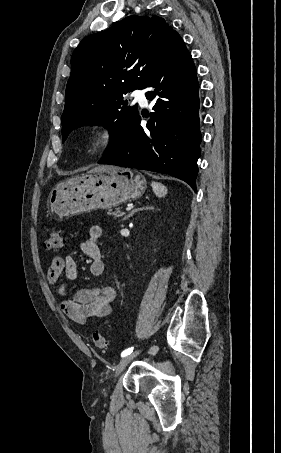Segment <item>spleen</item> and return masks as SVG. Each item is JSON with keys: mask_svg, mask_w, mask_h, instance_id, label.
Returning a JSON list of instances; mask_svg holds the SVG:
<instances>
[{"mask_svg": "<svg viewBox=\"0 0 281 453\" xmlns=\"http://www.w3.org/2000/svg\"><path fill=\"white\" fill-rule=\"evenodd\" d=\"M152 190H154L156 196H165L167 194V188L161 182H151Z\"/></svg>", "mask_w": 281, "mask_h": 453, "instance_id": "3e777b00", "label": "spleen"}]
</instances>
